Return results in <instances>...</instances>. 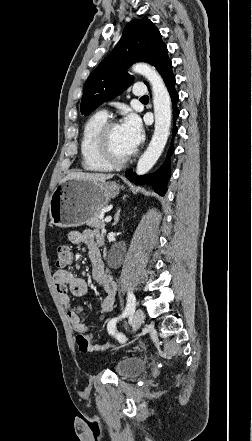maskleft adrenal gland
I'll return each mask as SVG.
<instances>
[{
  "instance_id": "left-adrenal-gland-1",
  "label": "left adrenal gland",
  "mask_w": 252,
  "mask_h": 441,
  "mask_svg": "<svg viewBox=\"0 0 252 441\" xmlns=\"http://www.w3.org/2000/svg\"><path fill=\"white\" fill-rule=\"evenodd\" d=\"M119 220H120V209L115 214L113 225H116L119 222Z\"/></svg>"
}]
</instances>
